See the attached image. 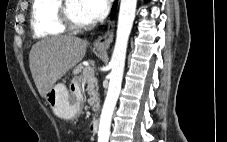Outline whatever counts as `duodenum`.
<instances>
[{
  "label": "duodenum",
  "mask_w": 227,
  "mask_h": 142,
  "mask_svg": "<svg viewBox=\"0 0 227 142\" xmlns=\"http://www.w3.org/2000/svg\"><path fill=\"white\" fill-rule=\"evenodd\" d=\"M98 129H99V119L95 118L92 120L90 124V131L93 134H96L98 132Z\"/></svg>",
  "instance_id": "obj_1"
}]
</instances>
